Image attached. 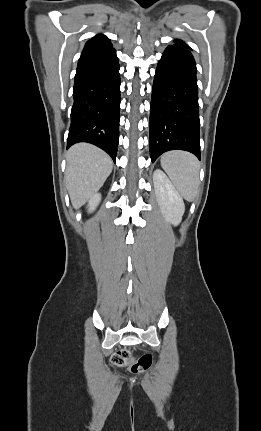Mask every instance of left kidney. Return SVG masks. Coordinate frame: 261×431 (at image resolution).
<instances>
[{
    "mask_svg": "<svg viewBox=\"0 0 261 431\" xmlns=\"http://www.w3.org/2000/svg\"><path fill=\"white\" fill-rule=\"evenodd\" d=\"M154 190L160 210L166 221L178 225L185 211L182 197L176 191L168 177L161 170L153 174Z\"/></svg>",
    "mask_w": 261,
    "mask_h": 431,
    "instance_id": "1",
    "label": "left kidney"
}]
</instances>
